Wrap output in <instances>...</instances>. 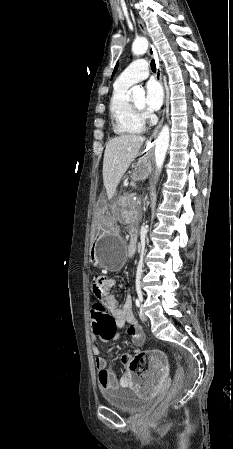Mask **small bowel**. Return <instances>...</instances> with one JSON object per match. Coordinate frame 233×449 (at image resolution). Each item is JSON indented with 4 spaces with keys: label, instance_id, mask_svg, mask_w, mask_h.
Instances as JSON below:
<instances>
[{
    "label": "small bowel",
    "instance_id": "1",
    "mask_svg": "<svg viewBox=\"0 0 233 449\" xmlns=\"http://www.w3.org/2000/svg\"><path fill=\"white\" fill-rule=\"evenodd\" d=\"M115 285L116 280L112 278L111 274H97L91 283V290L97 301H102L104 306H107V313L110 314L111 319H114L115 328L128 324L127 334L132 344L137 347L142 346L145 342V333L134 317L132 297L126 295L123 303L120 304L117 296L112 292ZM92 337L96 339L98 336L92 332ZM118 339L119 334L112 341ZM91 349L98 371L99 386L102 389L112 388L121 382L130 384V389L136 390L139 399H156L157 394H161V384L164 382V377H168L169 370L166 354H162L161 347H148L149 363L148 368H144L143 375H128L125 372L120 379L107 369V358L102 354L98 345L93 343ZM126 356H131V354H126L124 357Z\"/></svg>",
    "mask_w": 233,
    "mask_h": 449
}]
</instances>
